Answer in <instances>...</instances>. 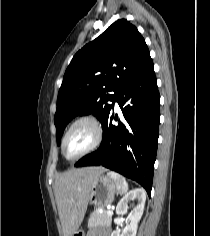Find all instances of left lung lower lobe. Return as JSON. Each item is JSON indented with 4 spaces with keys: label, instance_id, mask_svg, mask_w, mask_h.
<instances>
[{
    "label": "left lung lower lobe",
    "instance_id": "obj_1",
    "mask_svg": "<svg viewBox=\"0 0 210 236\" xmlns=\"http://www.w3.org/2000/svg\"><path fill=\"white\" fill-rule=\"evenodd\" d=\"M115 101L122 111L120 118L115 116L118 124H112V106L102 122L101 146L75 166L102 165L137 181L150 196L160 119V96L152 60L125 84Z\"/></svg>",
    "mask_w": 210,
    "mask_h": 236
}]
</instances>
